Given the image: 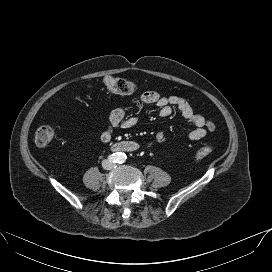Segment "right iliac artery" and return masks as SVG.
<instances>
[{
  "label": "right iliac artery",
  "instance_id": "82829eb1",
  "mask_svg": "<svg viewBox=\"0 0 272 272\" xmlns=\"http://www.w3.org/2000/svg\"><path fill=\"white\" fill-rule=\"evenodd\" d=\"M109 161L112 163H118L119 162V156L116 154H112L108 157Z\"/></svg>",
  "mask_w": 272,
  "mask_h": 272
}]
</instances>
